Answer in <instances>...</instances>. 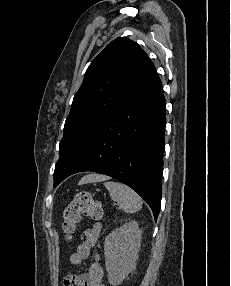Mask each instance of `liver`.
I'll return each mask as SVG.
<instances>
[{"mask_svg":"<svg viewBox=\"0 0 231 286\" xmlns=\"http://www.w3.org/2000/svg\"><path fill=\"white\" fill-rule=\"evenodd\" d=\"M105 178L106 177L102 175L90 174L88 176L83 177L80 180L79 185L90 183V182H95V181H101V180H104Z\"/></svg>","mask_w":231,"mask_h":286,"instance_id":"1","label":"liver"}]
</instances>
